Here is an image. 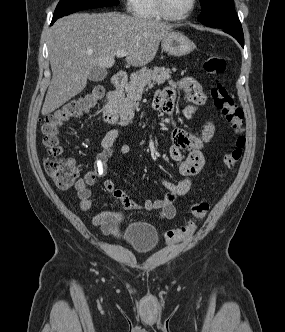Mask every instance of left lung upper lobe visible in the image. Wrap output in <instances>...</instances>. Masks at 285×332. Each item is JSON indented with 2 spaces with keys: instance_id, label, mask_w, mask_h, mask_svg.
Listing matches in <instances>:
<instances>
[{
  "instance_id": "left-lung-upper-lobe-1",
  "label": "left lung upper lobe",
  "mask_w": 285,
  "mask_h": 332,
  "mask_svg": "<svg viewBox=\"0 0 285 332\" xmlns=\"http://www.w3.org/2000/svg\"><path fill=\"white\" fill-rule=\"evenodd\" d=\"M202 11L198 20L209 27H237L241 23L233 0H200Z\"/></svg>"
}]
</instances>
